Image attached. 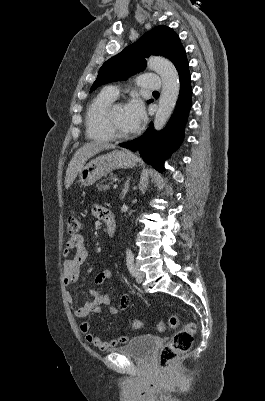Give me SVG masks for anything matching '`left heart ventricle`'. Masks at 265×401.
<instances>
[{
    "label": "left heart ventricle",
    "instance_id": "left-heart-ventricle-1",
    "mask_svg": "<svg viewBox=\"0 0 265 401\" xmlns=\"http://www.w3.org/2000/svg\"><path fill=\"white\" fill-rule=\"evenodd\" d=\"M112 121L114 129L118 134L127 135L133 130L126 119L125 107L122 105L117 106L115 109Z\"/></svg>",
    "mask_w": 265,
    "mask_h": 401
}]
</instances>
